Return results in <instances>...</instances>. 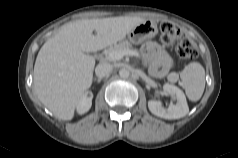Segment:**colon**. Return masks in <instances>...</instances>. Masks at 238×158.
<instances>
[{"label":"colon","mask_w":238,"mask_h":158,"mask_svg":"<svg viewBox=\"0 0 238 158\" xmlns=\"http://www.w3.org/2000/svg\"><path fill=\"white\" fill-rule=\"evenodd\" d=\"M160 38L164 45L175 44L176 53L183 59H193L198 55L193 43L183 37L180 30L170 22L161 23Z\"/></svg>","instance_id":"1"}]
</instances>
